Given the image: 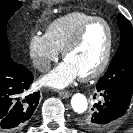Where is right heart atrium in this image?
Returning <instances> with one entry per match:
<instances>
[{
	"label": "right heart atrium",
	"mask_w": 133,
	"mask_h": 133,
	"mask_svg": "<svg viewBox=\"0 0 133 133\" xmlns=\"http://www.w3.org/2000/svg\"><path fill=\"white\" fill-rule=\"evenodd\" d=\"M29 55L32 63L39 71H46L51 62L59 56L56 50L44 34L35 33L29 39Z\"/></svg>",
	"instance_id": "d8ad5b80"
}]
</instances>
